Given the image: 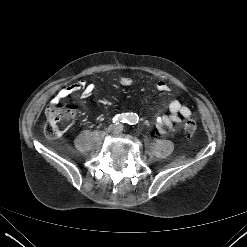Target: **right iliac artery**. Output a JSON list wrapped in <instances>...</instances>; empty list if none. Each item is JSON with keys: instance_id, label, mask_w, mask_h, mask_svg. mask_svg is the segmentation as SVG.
Masks as SVG:
<instances>
[{"instance_id": "right-iliac-artery-1", "label": "right iliac artery", "mask_w": 247, "mask_h": 247, "mask_svg": "<svg viewBox=\"0 0 247 247\" xmlns=\"http://www.w3.org/2000/svg\"><path fill=\"white\" fill-rule=\"evenodd\" d=\"M128 118H129V116H128V113H123V114H118V115H116L114 118H113V122H116V123H119V122H121V123H126V122H128Z\"/></svg>"}]
</instances>
